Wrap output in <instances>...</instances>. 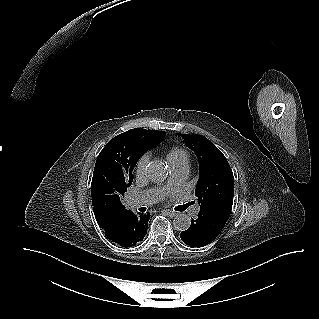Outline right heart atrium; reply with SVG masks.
<instances>
[{"mask_svg":"<svg viewBox=\"0 0 319 319\" xmlns=\"http://www.w3.org/2000/svg\"><path fill=\"white\" fill-rule=\"evenodd\" d=\"M149 162V156L148 155H142L137 163H136V174L137 176H143L147 167V164Z\"/></svg>","mask_w":319,"mask_h":319,"instance_id":"1","label":"right heart atrium"}]
</instances>
